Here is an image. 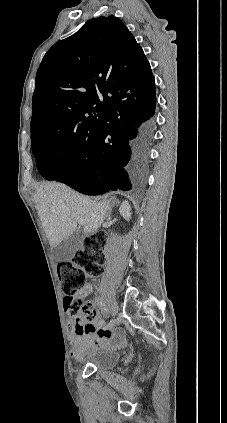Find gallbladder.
Masks as SVG:
<instances>
[{
  "label": "gallbladder",
  "mask_w": 227,
  "mask_h": 423,
  "mask_svg": "<svg viewBox=\"0 0 227 423\" xmlns=\"http://www.w3.org/2000/svg\"><path fill=\"white\" fill-rule=\"evenodd\" d=\"M84 237H87L83 229L79 227L67 239H63L56 247H52V253L55 261H70L74 253L83 247Z\"/></svg>",
  "instance_id": "bac80fb5"
}]
</instances>
